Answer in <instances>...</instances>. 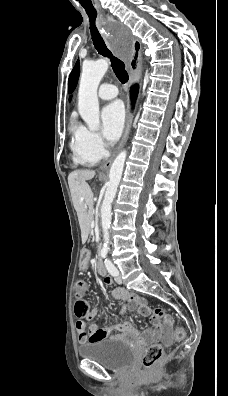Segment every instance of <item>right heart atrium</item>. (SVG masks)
Segmentation results:
<instances>
[{
  "mask_svg": "<svg viewBox=\"0 0 228 396\" xmlns=\"http://www.w3.org/2000/svg\"><path fill=\"white\" fill-rule=\"evenodd\" d=\"M77 137L87 152L98 159H101L104 156L106 152V144L98 132L90 130L84 126H80L77 128Z\"/></svg>",
  "mask_w": 228,
  "mask_h": 396,
  "instance_id": "1",
  "label": "right heart atrium"
}]
</instances>
